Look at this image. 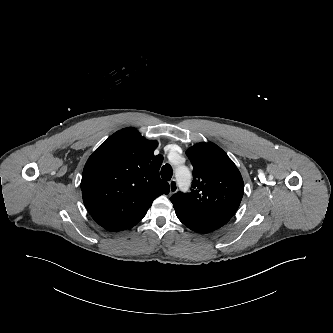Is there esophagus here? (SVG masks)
Listing matches in <instances>:
<instances>
[{"instance_id": "esophagus-1", "label": "esophagus", "mask_w": 333, "mask_h": 333, "mask_svg": "<svg viewBox=\"0 0 333 333\" xmlns=\"http://www.w3.org/2000/svg\"><path fill=\"white\" fill-rule=\"evenodd\" d=\"M169 188H170V194H173L177 191L178 186H177V181L175 179H172L169 182Z\"/></svg>"}]
</instances>
